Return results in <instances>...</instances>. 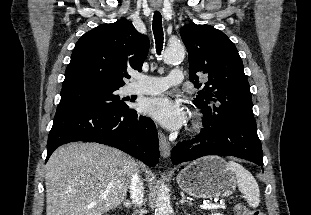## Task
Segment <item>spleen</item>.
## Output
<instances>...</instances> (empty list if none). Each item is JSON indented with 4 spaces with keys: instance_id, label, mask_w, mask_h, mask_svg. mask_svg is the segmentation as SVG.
<instances>
[{
    "instance_id": "3e777b00",
    "label": "spleen",
    "mask_w": 311,
    "mask_h": 215,
    "mask_svg": "<svg viewBox=\"0 0 311 215\" xmlns=\"http://www.w3.org/2000/svg\"><path fill=\"white\" fill-rule=\"evenodd\" d=\"M227 165L235 174L238 188L245 195L249 206L253 208L258 207L260 203V191L254 176L235 161H229Z\"/></svg>"
}]
</instances>
